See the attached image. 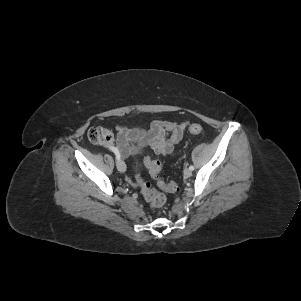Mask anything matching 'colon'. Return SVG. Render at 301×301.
I'll return each instance as SVG.
<instances>
[{
    "label": "colon",
    "mask_w": 301,
    "mask_h": 301,
    "mask_svg": "<svg viewBox=\"0 0 301 301\" xmlns=\"http://www.w3.org/2000/svg\"><path fill=\"white\" fill-rule=\"evenodd\" d=\"M203 128L200 124H192L189 127V132L192 134H200ZM88 139L97 145H108L113 140L112 133L102 127H92L88 131ZM145 165L149 170V173L154 181V183L161 189L168 192H175L178 186L175 182L165 183L160 178L161 164L158 160L151 158L150 156L146 158ZM136 181L141 188V192L144 198L153 207H160L165 203V196L155 190L150 182H145L141 175L136 176Z\"/></svg>",
    "instance_id": "colon-1"
}]
</instances>
